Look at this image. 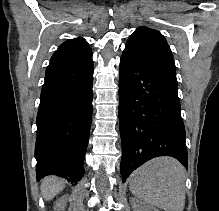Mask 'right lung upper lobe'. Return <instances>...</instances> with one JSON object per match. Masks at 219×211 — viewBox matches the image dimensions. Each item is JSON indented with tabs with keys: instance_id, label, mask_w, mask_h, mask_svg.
Returning a JSON list of instances; mask_svg holds the SVG:
<instances>
[{
	"instance_id": "obj_1",
	"label": "right lung upper lobe",
	"mask_w": 219,
	"mask_h": 211,
	"mask_svg": "<svg viewBox=\"0 0 219 211\" xmlns=\"http://www.w3.org/2000/svg\"><path fill=\"white\" fill-rule=\"evenodd\" d=\"M92 58V51L85 39H70L59 46L51 62H74Z\"/></svg>"
}]
</instances>
